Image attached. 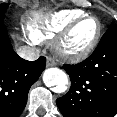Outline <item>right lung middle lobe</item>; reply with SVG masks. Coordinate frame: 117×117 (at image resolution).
I'll return each mask as SVG.
<instances>
[{"instance_id": "dd1d6c3e", "label": "right lung middle lobe", "mask_w": 117, "mask_h": 117, "mask_svg": "<svg viewBox=\"0 0 117 117\" xmlns=\"http://www.w3.org/2000/svg\"><path fill=\"white\" fill-rule=\"evenodd\" d=\"M9 4H0V15H4Z\"/></svg>"}]
</instances>
